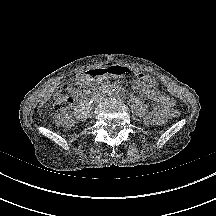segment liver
I'll return each instance as SVG.
<instances>
[{
	"mask_svg": "<svg viewBox=\"0 0 216 216\" xmlns=\"http://www.w3.org/2000/svg\"><path fill=\"white\" fill-rule=\"evenodd\" d=\"M54 91V88H52L46 95L44 100L42 101V105L51 97L52 93Z\"/></svg>",
	"mask_w": 216,
	"mask_h": 216,
	"instance_id": "liver-1",
	"label": "liver"
}]
</instances>
